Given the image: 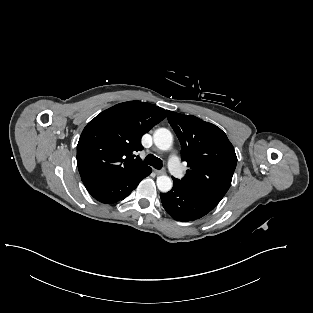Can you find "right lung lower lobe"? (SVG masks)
<instances>
[{"mask_svg": "<svg viewBox=\"0 0 313 313\" xmlns=\"http://www.w3.org/2000/svg\"><path fill=\"white\" fill-rule=\"evenodd\" d=\"M151 173V168L124 177L122 179L86 186L87 191L102 203H115L126 198Z\"/></svg>", "mask_w": 313, "mask_h": 313, "instance_id": "1", "label": "right lung lower lobe"}]
</instances>
